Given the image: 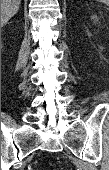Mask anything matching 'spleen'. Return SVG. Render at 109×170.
Here are the masks:
<instances>
[{
    "instance_id": "obj_1",
    "label": "spleen",
    "mask_w": 109,
    "mask_h": 170,
    "mask_svg": "<svg viewBox=\"0 0 109 170\" xmlns=\"http://www.w3.org/2000/svg\"><path fill=\"white\" fill-rule=\"evenodd\" d=\"M99 2H102V3H105V4H108L109 3V0H97Z\"/></svg>"
}]
</instances>
